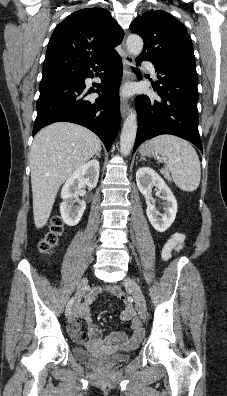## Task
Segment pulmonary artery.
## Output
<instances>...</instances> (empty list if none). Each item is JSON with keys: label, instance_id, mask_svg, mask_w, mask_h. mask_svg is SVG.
<instances>
[{"label": "pulmonary artery", "instance_id": "obj_1", "mask_svg": "<svg viewBox=\"0 0 227 396\" xmlns=\"http://www.w3.org/2000/svg\"><path fill=\"white\" fill-rule=\"evenodd\" d=\"M143 65L150 71V73H151L154 77H157V72H156V70H155L154 65H153L151 62L145 61V62H143Z\"/></svg>", "mask_w": 227, "mask_h": 396}]
</instances>
